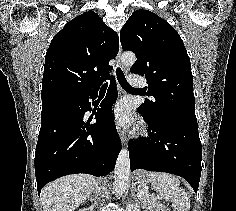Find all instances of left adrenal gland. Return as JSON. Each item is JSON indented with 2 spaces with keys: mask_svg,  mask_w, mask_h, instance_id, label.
<instances>
[{
  "mask_svg": "<svg viewBox=\"0 0 236 211\" xmlns=\"http://www.w3.org/2000/svg\"><path fill=\"white\" fill-rule=\"evenodd\" d=\"M131 196L133 197V199H134V201H135L136 203L139 202V198H138V196H137V188H136V185L132 186V188H131Z\"/></svg>",
  "mask_w": 236,
  "mask_h": 211,
  "instance_id": "left-adrenal-gland-1",
  "label": "left adrenal gland"
}]
</instances>
